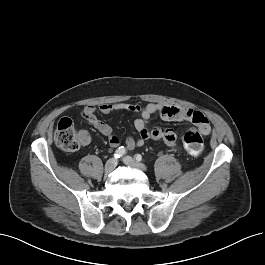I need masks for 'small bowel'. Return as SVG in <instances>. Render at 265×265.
Segmentation results:
<instances>
[{
  "mask_svg": "<svg viewBox=\"0 0 265 265\" xmlns=\"http://www.w3.org/2000/svg\"><path fill=\"white\" fill-rule=\"evenodd\" d=\"M101 113L109 114L123 110L139 113L140 116L134 122L135 129L139 133L137 139L126 138V147L130 150L142 146L147 140H162L167 146L175 147L177 138L175 132L170 128L154 127L148 128L147 123L155 113H159L165 121H189L193 123L203 134L210 133L211 127L207 117L196 110L166 104H147L144 107L125 103L103 104L99 107ZM82 116L102 135L108 137L109 144L115 148L121 144V140L113 134L112 128L96 116V108L88 105L83 108ZM81 144L90 143L91 137L86 130L79 131Z\"/></svg>",
  "mask_w": 265,
  "mask_h": 265,
  "instance_id": "1",
  "label": "small bowel"
}]
</instances>
